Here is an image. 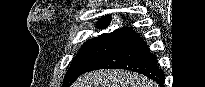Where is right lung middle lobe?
Segmentation results:
<instances>
[{
  "mask_svg": "<svg viewBox=\"0 0 205 87\" xmlns=\"http://www.w3.org/2000/svg\"><path fill=\"white\" fill-rule=\"evenodd\" d=\"M133 35L124 32L104 33L81 47L73 59L63 81V87L70 86L82 73L94 63L126 42Z\"/></svg>",
  "mask_w": 205,
  "mask_h": 87,
  "instance_id": "dd1d6c3e",
  "label": "right lung middle lobe"
}]
</instances>
